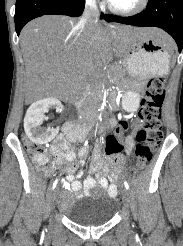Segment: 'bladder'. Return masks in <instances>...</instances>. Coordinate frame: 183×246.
<instances>
[{"label":"bladder","instance_id":"31cf9c89","mask_svg":"<svg viewBox=\"0 0 183 246\" xmlns=\"http://www.w3.org/2000/svg\"><path fill=\"white\" fill-rule=\"evenodd\" d=\"M118 207L119 203L115 198L96 192L74 201L65 210V215L76 225L96 227L108 223L115 216Z\"/></svg>","mask_w":183,"mask_h":246}]
</instances>
